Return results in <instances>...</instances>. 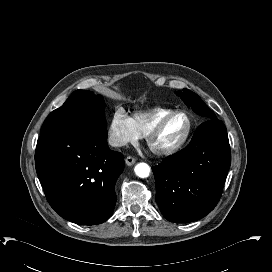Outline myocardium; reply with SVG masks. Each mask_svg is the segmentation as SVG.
Here are the masks:
<instances>
[{
  "label": "myocardium",
  "instance_id": "1",
  "mask_svg": "<svg viewBox=\"0 0 272 272\" xmlns=\"http://www.w3.org/2000/svg\"><path fill=\"white\" fill-rule=\"evenodd\" d=\"M179 115L184 116L187 120V130L184 137L181 139V141L178 142L176 145L169 148H164V149L154 148L152 146L153 139L164 129L165 125L168 123L169 120ZM192 130H193V122L190 115H188V113L184 111H173L161 117L150 129H148V131L146 132V141L149 148L156 155L169 156L179 151L187 143V141L189 140L191 136Z\"/></svg>",
  "mask_w": 272,
  "mask_h": 272
}]
</instances>
